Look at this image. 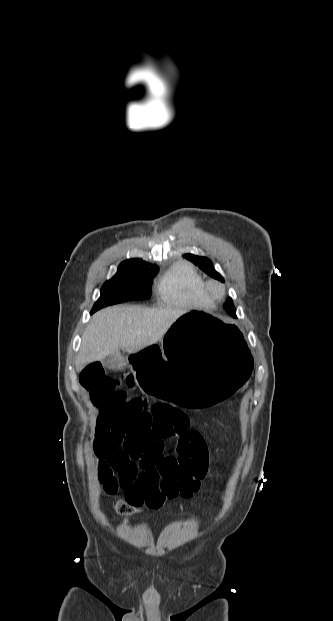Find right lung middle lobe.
I'll return each instance as SVG.
<instances>
[{
	"mask_svg": "<svg viewBox=\"0 0 333 621\" xmlns=\"http://www.w3.org/2000/svg\"><path fill=\"white\" fill-rule=\"evenodd\" d=\"M157 271L158 267L120 264L115 276L101 288L100 298L94 304L91 314L108 305L149 299L152 294L151 281Z\"/></svg>",
	"mask_w": 333,
	"mask_h": 621,
	"instance_id": "right-lung-middle-lobe-1",
	"label": "right lung middle lobe"
}]
</instances>
